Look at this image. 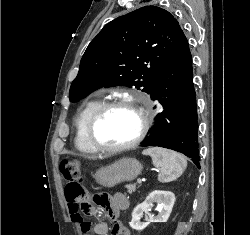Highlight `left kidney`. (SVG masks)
<instances>
[{"mask_svg":"<svg viewBox=\"0 0 250 235\" xmlns=\"http://www.w3.org/2000/svg\"><path fill=\"white\" fill-rule=\"evenodd\" d=\"M154 202H156L159 207V214L157 216L149 213ZM174 202L175 195L171 191L155 190L151 192L146 197L144 202L134 208L132 212V220L129 223L130 227L134 230L142 231L151 222H167L171 214ZM144 212L149 215L150 219L148 222H140V219Z\"/></svg>","mask_w":250,"mask_h":235,"instance_id":"1","label":"left kidney"}]
</instances>
